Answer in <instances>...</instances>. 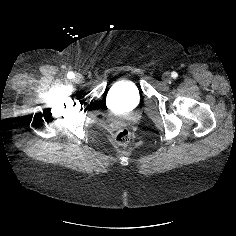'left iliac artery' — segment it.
<instances>
[{
  "label": "left iliac artery",
  "mask_w": 236,
  "mask_h": 236,
  "mask_svg": "<svg viewBox=\"0 0 236 236\" xmlns=\"http://www.w3.org/2000/svg\"><path fill=\"white\" fill-rule=\"evenodd\" d=\"M177 76H178V74H177L176 72H172V73H171V77H172V78H177Z\"/></svg>",
  "instance_id": "44dca946"
}]
</instances>
